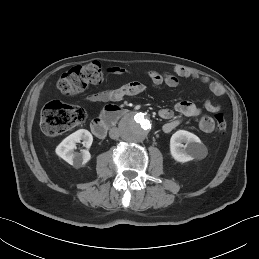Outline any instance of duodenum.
Segmentation results:
<instances>
[{
  "mask_svg": "<svg viewBox=\"0 0 259 259\" xmlns=\"http://www.w3.org/2000/svg\"><path fill=\"white\" fill-rule=\"evenodd\" d=\"M129 111L116 105L105 106L99 117L91 123L92 133L98 138H104L113 122L118 118L128 115Z\"/></svg>",
  "mask_w": 259,
  "mask_h": 259,
  "instance_id": "duodenum-1",
  "label": "duodenum"
}]
</instances>
